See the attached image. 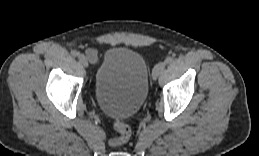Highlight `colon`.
Masks as SVG:
<instances>
[{"label":"colon","instance_id":"colon-1","mask_svg":"<svg viewBox=\"0 0 259 156\" xmlns=\"http://www.w3.org/2000/svg\"><path fill=\"white\" fill-rule=\"evenodd\" d=\"M113 127L117 132V136L112 139V145H121L130 139L132 132L129 125L117 119L113 122Z\"/></svg>","mask_w":259,"mask_h":156}]
</instances>
